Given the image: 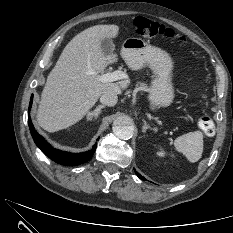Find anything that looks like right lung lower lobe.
<instances>
[{
	"label": "right lung lower lobe",
	"instance_id": "1",
	"mask_svg": "<svg viewBox=\"0 0 233 233\" xmlns=\"http://www.w3.org/2000/svg\"><path fill=\"white\" fill-rule=\"evenodd\" d=\"M32 98L30 100L29 104V110H28V124L29 128L31 131V135L34 139V142L36 145L42 150V152L48 156L50 159L55 161L56 163L62 164V165H67V166H73V165H79L82 163L87 162L94 154L96 150V145L95 144L92 148L91 151H87L84 153H70V152H65L61 150H57L48 144L42 136H40L36 130L34 129V126L31 122V118L29 116V111L32 105Z\"/></svg>",
	"mask_w": 233,
	"mask_h": 233
}]
</instances>
